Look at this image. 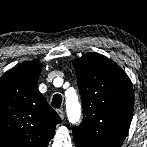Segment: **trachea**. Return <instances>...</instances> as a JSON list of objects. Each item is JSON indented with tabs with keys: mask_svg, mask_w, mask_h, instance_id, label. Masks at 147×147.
<instances>
[{
	"mask_svg": "<svg viewBox=\"0 0 147 147\" xmlns=\"http://www.w3.org/2000/svg\"><path fill=\"white\" fill-rule=\"evenodd\" d=\"M61 103H62V96L60 94H55L53 96L51 106L54 108H60Z\"/></svg>",
	"mask_w": 147,
	"mask_h": 147,
	"instance_id": "1",
	"label": "trachea"
}]
</instances>
